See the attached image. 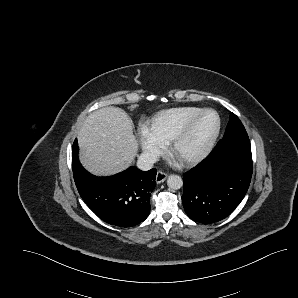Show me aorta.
Segmentation results:
<instances>
[{"label":"aorta","instance_id":"1","mask_svg":"<svg viewBox=\"0 0 298 298\" xmlns=\"http://www.w3.org/2000/svg\"><path fill=\"white\" fill-rule=\"evenodd\" d=\"M167 186L170 189L178 190L183 186V179L177 174H171L167 177Z\"/></svg>","mask_w":298,"mask_h":298}]
</instances>
